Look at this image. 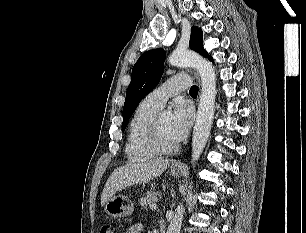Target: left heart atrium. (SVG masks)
<instances>
[{"label":"left heart atrium","mask_w":306,"mask_h":233,"mask_svg":"<svg viewBox=\"0 0 306 233\" xmlns=\"http://www.w3.org/2000/svg\"><path fill=\"white\" fill-rule=\"evenodd\" d=\"M193 112L190 107L182 102H177L173 107V115L169 124V134L174 142L182 141L188 134L192 124Z\"/></svg>","instance_id":"left-heart-atrium-1"}]
</instances>
